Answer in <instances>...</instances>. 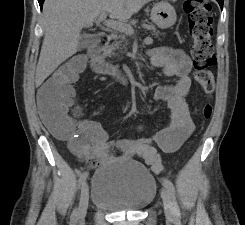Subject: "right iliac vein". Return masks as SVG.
Wrapping results in <instances>:
<instances>
[{"instance_id":"obj_1","label":"right iliac vein","mask_w":245,"mask_h":225,"mask_svg":"<svg viewBox=\"0 0 245 225\" xmlns=\"http://www.w3.org/2000/svg\"><path fill=\"white\" fill-rule=\"evenodd\" d=\"M89 204V186L87 182L82 184L81 195H80V202L79 208L77 211V220H81L86 216L87 209Z\"/></svg>"}]
</instances>
